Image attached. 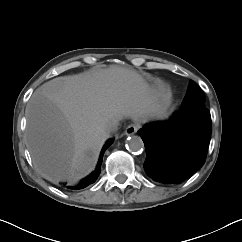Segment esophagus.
<instances>
[{"label":"esophagus","mask_w":242,"mask_h":242,"mask_svg":"<svg viewBox=\"0 0 242 242\" xmlns=\"http://www.w3.org/2000/svg\"><path fill=\"white\" fill-rule=\"evenodd\" d=\"M138 126L137 125H135V124H131V125H129L127 128H126V130H125V134L126 135H133V134H135L137 131H138Z\"/></svg>","instance_id":"1"}]
</instances>
